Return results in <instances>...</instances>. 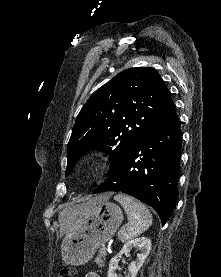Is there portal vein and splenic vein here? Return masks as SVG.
<instances>
[{
  "instance_id": "1",
  "label": "portal vein and splenic vein",
  "mask_w": 221,
  "mask_h": 277,
  "mask_svg": "<svg viewBox=\"0 0 221 277\" xmlns=\"http://www.w3.org/2000/svg\"><path fill=\"white\" fill-rule=\"evenodd\" d=\"M101 249L104 250V251L107 250L106 246H103Z\"/></svg>"
}]
</instances>
